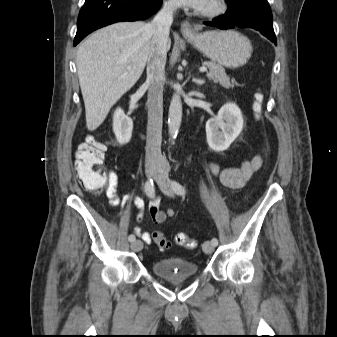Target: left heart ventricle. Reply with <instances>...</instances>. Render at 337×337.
I'll return each instance as SVG.
<instances>
[{
	"label": "left heart ventricle",
	"instance_id": "b2bd125f",
	"mask_svg": "<svg viewBox=\"0 0 337 337\" xmlns=\"http://www.w3.org/2000/svg\"><path fill=\"white\" fill-rule=\"evenodd\" d=\"M209 4H210V2L208 3V5H207L206 7H208V6H209ZM206 7H205V8H206Z\"/></svg>",
	"mask_w": 337,
	"mask_h": 337
}]
</instances>
